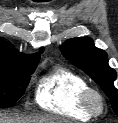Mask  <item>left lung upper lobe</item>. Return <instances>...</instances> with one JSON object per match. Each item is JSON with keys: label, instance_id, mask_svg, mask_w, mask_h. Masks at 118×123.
Listing matches in <instances>:
<instances>
[{"label": "left lung upper lobe", "instance_id": "left-lung-upper-lobe-1", "mask_svg": "<svg viewBox=\"0 0 118 123\" xmlns=\"http://www.w3.org/2000/svg\"><path fill=\"white\" fill-rule=\"evenodd\" d=\"M60 51L64 57L90 76L111 100L113 110L118 114V90L114 87L116 71L108 65L106 53L94 46L89 37L75 38L63 43Z\"/></svg>", "mask_w": 118, "mask_h": 123}]
</instances>
